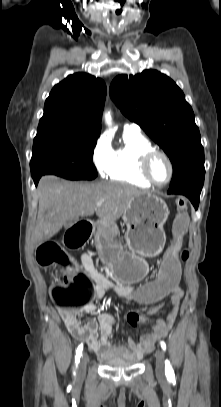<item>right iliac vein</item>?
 <instances>
[{
    "label": "right iliac vein",
    "instance_id": "obj_1",
    "mask_svg": "<svg viewBox=\"0 0 221 407\" xmlns=\"http://www.w3.org/2000/svg\"><path fill=\"white\" fill-rule=\"evenodd\" d=\"M87 362H88V356L86 353H84L80 360V363H79L78 372L80 375H83L85 373Z\"/></svg>",
    "mask_w": 221,
    "mask_h": 407
}]
</instances>
